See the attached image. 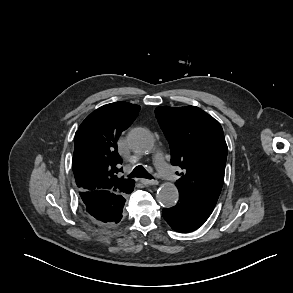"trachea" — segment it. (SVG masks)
<instances>
[{
    "label": "trachea",
    "mask_w": 293,
    "mask_h": 293,
    "mask_svg": "<svg viewBox=\"0 0 293 293\" xmlns=\"http://www.w3.org/2000/svg\"><path fill=\"white\" fill-rule=\"evenodd\" d=\"M128 177H138V178H146L151 179V176L148 174V172L145 170V168L141 165L134 168V170L129 174Z\"/></svg>",
    "instance_id": "1"
}]
</instances>
